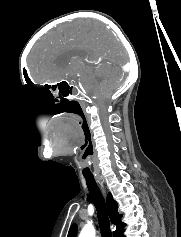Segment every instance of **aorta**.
I'll return each mask as SVG.
<instances>
[{
  "label": "aorta",
  "mask_w": 181,
  "mask_h": 237,
  "mask_svg": "<svg viewBox=\"0 0 181 237\" xmlns=\"http://www.w3.org/2000/svg\"><path fill=\"white\" fill-rule=\"evenodd\" d=\"M79 237H95V229L92 225L87 224L83 227Z\"/></svg>",
  "instance_id": "aorta-1"
}]
</instances>
